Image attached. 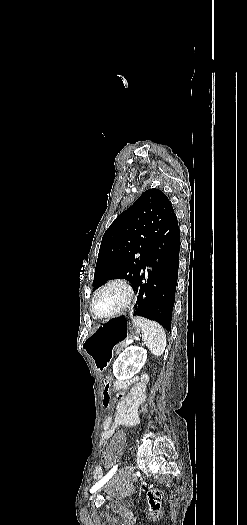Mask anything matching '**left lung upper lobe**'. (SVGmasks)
Listing matches in <instances>:
<instances>
[{
  "label": "left lung upper lobe",
  "mask_w": 247,
  "mask_h": 525,
  "mask_svg": "<svg viewBox=\"0 0 247 525\" xmlns=\"http://www.w3.org/2000/svg\"><path fill=\"white\" fill-rule=\"evenodd\" d=\"M174 214L168 197L155 188L122 212L103 235L94 290L110 279H127L132 284L147 260L152 239Z\"/></svg>",
  "instance_id": "obj_1"
}]
</instances>
